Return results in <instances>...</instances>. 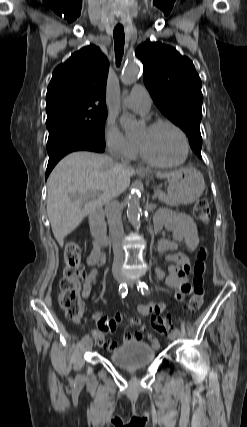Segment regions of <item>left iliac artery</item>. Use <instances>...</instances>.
Here are the masks:
<instances>
[{"mask_svg":"<svg viewBox=\"0 0 247 427\" xmlns=\"http://www.w3.org/2000/svg\"><path fill=\"white\" fill-rule=\"evenodd\" d=\"M137 289L142 293V295H146L149 292V288L145 282L139 281L137 284ZM184 329V328H182ZM174 331L176 333H180V330L178 328H175Z\"/></svg>","mask_w":247,"mask_h":427,"instance_id":"left-iliac-artery-1","label":"left iliac artery"}]
</instances>
